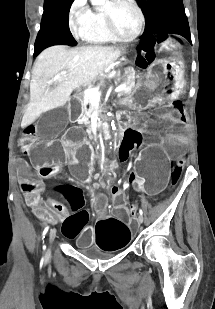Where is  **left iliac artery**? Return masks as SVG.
Instances as JSON below:
<instances>
[{
    "label": "left iliac artery",
    "mask_w": 215,
    "mask_h": 309,
    "mask_svg": "<svg viewBox=\"0 0 215 309\" xmlns=\"http://www.w3.org/2000/svg\"><path fill=\"white\" fill-rule=\"evenodd\" d=\"M139 214H140L141 216H143V211H142V209L139 210Z\"/></svg>",
    "instance_id": "44dca946"
}]
</instances>
